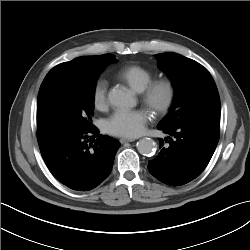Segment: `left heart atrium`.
I'll list each match as a JSON object with an SVG mask.
<instances>
[{"label":"left heart atrium","mask_w":250,"mask_h":250,"mask_svg":"<svg viewBox=\"0 0 250 250\" xmlns=\"http://www.w3.org/2000/svg\"><path fill=\"white\" fill-rule=\"evenodd\" d=\"M149 119L144 109L117 110L106 120L105 128L110 134L133 139L144 132Z\"/></svg>","instance_id":"left-heart-atrium-1"}]
</instances>
